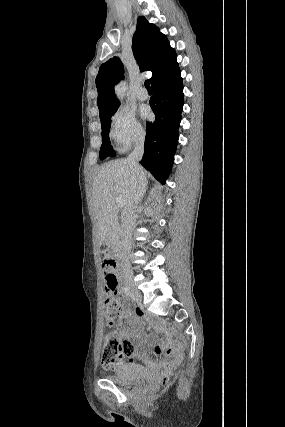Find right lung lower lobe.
Listing matches in <instances>:
<instances>
[{"label": "right lung lower lobe", "instance_id": "right-lung-lower-lobe-1", "mask_svg": "<svg viewBox=\"0 0 285 427\" xmlns=\"http://www.w3.org/2000/svg\"><path fill=\"white\" fill-rule=\"evenodd\" d=\"M150 106L155 121L147 123L144 155L140 164L160 182L170 174L178 143V127L183 107V82L178 71L153 86Z\"/></svg>", "mask_w": 285, "mask_h": 427}]
</instances>
